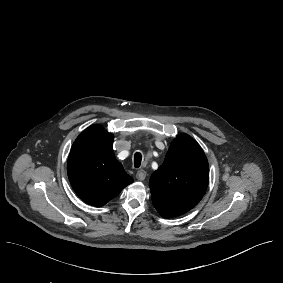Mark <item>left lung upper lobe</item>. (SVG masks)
I'll use <instances>...</instances> for the list:
<instances>
[{
	"label": "left lung upper lobe",
	"instance_id": "obj_1",
	"mask_svg": "<svg viewBox=\"0 0 283 283\" xmlns=\"http://www.w3.org/2000/svg\"><path fill=\"white\" fill-rule=\"evenodd\" d=\"M208 181L203 150L192 137L181 134L171 143L164 163L151 175L153 205L165 218L183 215L201 200Z\"/></svg>",
	"mask_w": 283,
	"mask_h": 283
}]
</instances>
